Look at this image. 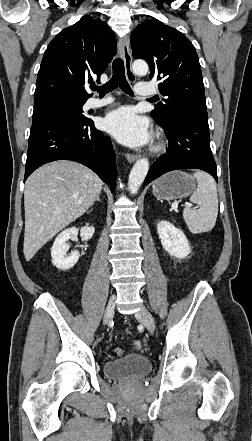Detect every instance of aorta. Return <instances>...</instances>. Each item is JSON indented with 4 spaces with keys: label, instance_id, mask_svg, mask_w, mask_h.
I'll return each instance as SVG.
<instances>
[{
    "label": "aorta",
    "instance_id": "obj_1",
    "mask_svg": "<svg viewBox=\"0 0 252 441\" xmlns=\"http://www.w3.org/2000/svg\"><path fill=\"white\" fill-rule=\"evenodd\" d=\"M132 69L137 75L147 74L149 67L143 60H136L132 65ZM149 170V161L146 158L139 159L134 164L128 179V188L130 194H136L142 185Z\"/></svg>",
    "mask_w": 252,
    "mask_h": 441
}]
</instances>
